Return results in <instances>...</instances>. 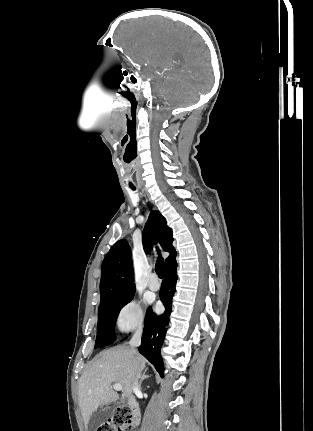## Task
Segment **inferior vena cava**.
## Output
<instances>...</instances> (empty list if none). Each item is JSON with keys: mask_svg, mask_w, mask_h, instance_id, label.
Wrapping results in <instances>:
<instances>
[{"mask_svg": "<svg viewBox=\"0 0 313 431\" xmlns=\"http://www.w3.org/2000/svg\"><path fill=\"white\" fill-rule=\"evenodd\" d=\"M141 335H142V331L141 330H137L131 340H130V346L132 349L135 350L136 347H138L141 344ZM140 375H137L136 379L133 382V386L132 389L134 392L138 391L140 389L139 387V383H138V379H139Z\"/></svg>", "mask_w": 313, "mask_h": 431, "instance_id": "1", "label": "inferior vena cava"}]
</instances>
